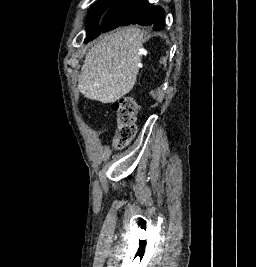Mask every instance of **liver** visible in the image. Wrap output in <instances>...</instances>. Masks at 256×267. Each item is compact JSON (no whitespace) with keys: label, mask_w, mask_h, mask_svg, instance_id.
<instances>
[{"label":"liver","mask_w":256,"mask_h":267,"mask_svg":"<svg viewBox=\"0 0 256 267\" xmlns=\"http://www.w3.org/2000/svg\"><path fill=\"white\" fill-rule=\"evenodd\" d=\"M138 26L119 28L94 44L81 68L78 90L89 100L112 104L131 92L143 56Z\"/></svg>","instance_id":"6515ba94"}]
</instances>
